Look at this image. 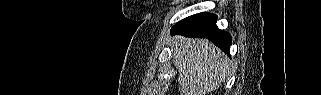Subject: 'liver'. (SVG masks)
I'll use <instances>...</instances> for the list:
<instances>
[{
	"label": "liver",
	"mask_w": 321,
	"mask_h": 95,
	"mask_svg": "<svg viewBox=\"0 0 321 95\" xmlns=\"http://www.w3.org/2000/svg\"><path fill=\"white\" fill-rule=\"evenodd\" d=\"M173 63L181 95H206L219 88L229 73V59L209 40L177 37Z\"/></svg>",
	"instance_id": "1"
}]
</instances>
